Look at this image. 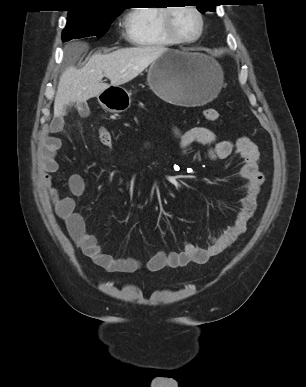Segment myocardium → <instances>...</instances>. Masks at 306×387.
<instances>
[{
	"label": "myocardium",
	"mask_w": 306,
	"mask_h": 387,
	"mask_svg": "<svg viewBox=\"0 0 306 387\" xmlns=\"http://www.w3.org/2000/svg\"><path fill=\"white\" fill-rule=\"evenodd\" d=\"M180 7L189 8L192 11H194L196 13V15L198 16L199 31H198L197 35L193 38H184V37L180 36L174 27L173 15H174L175 11ZM204 27H205L204 15H203L202 11L195 5L187 4L184 6H170V7L165 9V12L163 14L164 32L172 41H174L175 43H178V44H193V43L197 42L201 38V36L203 35Z\"/></svg>",
	"instance_id": "myocardium-1"
}]
</instances>
